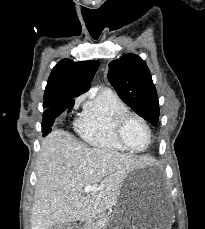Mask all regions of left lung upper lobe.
I'll return each mask as SVG.
<instances>
[{
    "label": "left lung upper lobe",
    "mask_w": 205,
    "mask_h": 229,
    "mask_svg": "<svg viewBox=\"0 0 205 229\" xmlns=\"http://www.w3.org/2000/svg\"><path fill=\"white\" fill-rule=\"evenodd\" d=\"M108 79L119 97L152 125L159 120V103L151 74L145 62L126 54L110 62Z\"/></svg>",
    "instance_id": "1"
}]
</instances>
